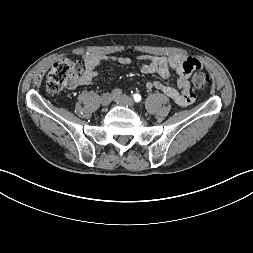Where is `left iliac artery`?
Instances as JSON below:
<instances>
[{
    "instance_id": "44dca946",
    "label": "left iliac artery",
    "mask_w": 253,
    "mask_h": 253,
    "mask_svg": "<svg viewBox=\"0 0 253 253\" xmlns=\"http://www.w3.org/2000/svg\"><path fill=\"white\" fill-rule=\"evenodd\" d=\"M133 98H134L135 102L141 101V96L139 94H134Z\"/></svg>"
}]
</instances>
